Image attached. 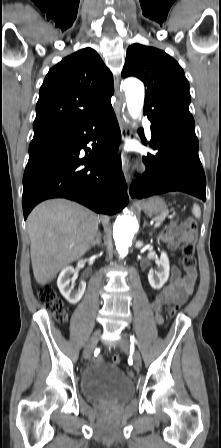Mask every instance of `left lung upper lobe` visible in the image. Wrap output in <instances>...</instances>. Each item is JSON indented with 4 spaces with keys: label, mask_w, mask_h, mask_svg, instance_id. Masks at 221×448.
Segmentation results:
<instances>
[{
    "label": "left lung upper lobe",
    "mask_w": 221,
    "mask_h": 448,
    "mask_svg": "<svg viewBox=\"0 0 221 448\" xmlns=\"http://www.w3.org/2000/svg\"><path fill=\"white\" fill-rule=\"evenodd\" d=\"M122 76H135L147 87L144 115L151 125L197 139L189 112V82L172 57L162 50L133 44L127 49Z\"/></svg>",
    "instance_id": "left-lung-upper-lobe-1"
}]
</instances>
